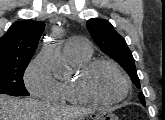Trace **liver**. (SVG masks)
<instances>
[{
  "label": "liver",
  "mask_w": 165,
  "mask_h": 120,
  "mask_svg": "<svg viewBox=\"0 0 165 120\" xmlns=\"http://www.w3.org/2000/svg\"><path fill=\"white\" fill-rule=\"evenodd\" d=\"M93 108L61 107L57 104L0 94V120H75Z\"/></svg>",
  "instance_id": "1"
}]
</instances>
